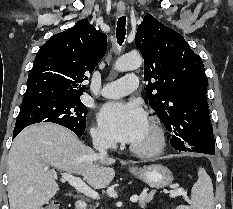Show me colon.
<instances>
[{"mask_svg": "<svg viewBox=\"0 0 233 209\" xmlns=\"http://www.w3.org/2000/svg\"><path fill=\"white\" fill-rule=\"evenodd\" d=\"M41 209H60V204L58 201L53 200L45 204Z\"/></svg>", "mask_w": 233, "mask_h": 209, "instance_id": "1", "label": "colon"}]
</instances>
